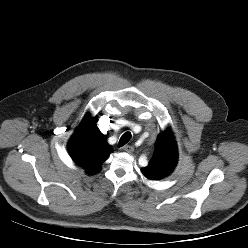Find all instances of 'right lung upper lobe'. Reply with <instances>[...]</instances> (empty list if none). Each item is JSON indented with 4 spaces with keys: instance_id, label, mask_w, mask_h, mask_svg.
<instances>
[{
    "instance_id": "1",
    "label": "right lung upper lobe",
    "mask_w": 248,
    "mask_h": 248,
    "mask_svg": "<svg viewBox=\"0 0 248 248\" xmlns=\"http://www.w3.org/2000/svg\"><path fill=\"white\" fill-rule=\"evenodd\" d=\"M96 122V117L86 115L68 143L71 158L84 168L88 175L99 172L112 152L106 136L97 128Z\"/></svg>"
}]
</instances>
